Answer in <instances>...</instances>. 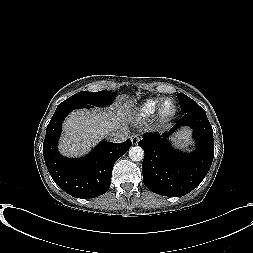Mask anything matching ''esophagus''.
<instances>
[{
	"label": "esophagus",
	"instance_id": "1",
	"mask_svg": "<svg viewBox=\"0 0 253 253\" xmlns=\"http://www.w3.org/2000/svg\"><path fill=\"white\" fill-rule=\"evenodd\" d=\"M131 142L133 145H137L139 142V135L138 134H133L130 136Z\"/></svg>",
	"mask_w": 253,
	"mask_h": 253
}]
</instances>
